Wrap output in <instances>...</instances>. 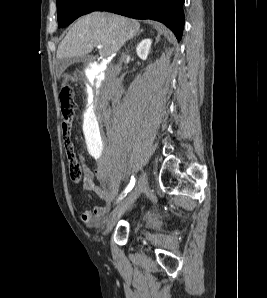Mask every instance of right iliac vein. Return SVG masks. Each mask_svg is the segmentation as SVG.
<instances>
[{
	"label": "right iliac vein",
	"instance_id": "obj_1",
	"mask_svg": "<svg viewBox=\"0 0 267 298\" xmlns=\"http://www.w3.org/2000/svg\"><path fill=\"white\" fill-rule=\"evenodd\" d=\"M146 186L147 175L145 172H142L135 188L119 205L115 207V209L111 213L107 221L105 233H109L112 230L117 220L133 205L139 194L146 188Z\"/></svg>",
	"mask_w": 267,
	"mask_h": 298
}]
</instances>
